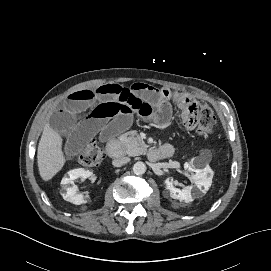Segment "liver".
I'll list each match as a JSON object with an SVG mask.
<instances>
[{
  "instance_id": "6515ba94",
  "label": "liver",
  "mask_w": 271,
  "mask_h": 271,
  "mask_svg": "<svg viewBox=\"0 0 271 271\" xmlns=\"http://www.w3.org/2000/svg\"><path fill=\"white\" fill-rule=\"evenodd\" d=\"M62 141L60 134L46 123L37 152L38 169L44 181L52 179L66 162L62 152Z\"/></svg>"
}]
</instances>
